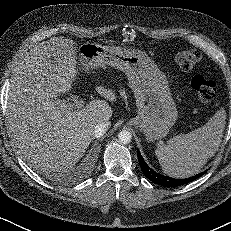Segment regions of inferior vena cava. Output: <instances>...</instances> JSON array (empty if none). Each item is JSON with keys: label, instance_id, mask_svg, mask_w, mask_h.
<instances>
[{"label": "inferior vena cava", "instance_id": "1", "mask_svg": "<svg viewBox=\"0 0 231 231\" xmlns=\"http://www.w3.org/2000/svg\"><path fill=\"white\" fill-rule=\"evenodd\" d=\"M110 122H101V123H98L96 126H95V129H94V136L96 138H100L101 136H103L107 130L109 129L110 127Z\"/></svg>", "mask_w": 231, "mask_h": 231}]
</instances>
